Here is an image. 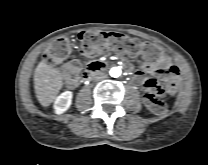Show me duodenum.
<instances>
[{
  "instance_id": "410a0bca",
  "label": "duodenum",
  "mask_w": 208,
  "mask_h": 165,
  "mask_svg": "<svg viewBox=\"0 0 208 165\" xmlns=\"http://www.w3.org/2000/svg\"><path fill=\"white\" fill-rule=\"evenodd\" d=\"M101 68H102V65L101 64H93V65H91L87 69V71L85 72V74L83 75V80L89 79L93 74H95L96 72H98Z\"/></svg>"
}]
</instances>
